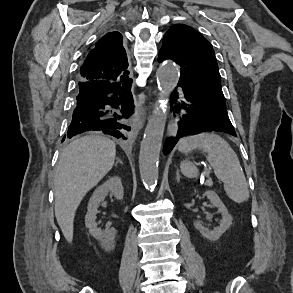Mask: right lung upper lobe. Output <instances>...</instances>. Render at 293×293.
I'll return each mask as SVG.
<instances>
[{
  "label": "right lung upper lobe",
  "mask_w": 293,
  "mask_h": 293,
  "mask_svg": "<svg viewBox=\"0 0 293 293\" xmlns=\"http://www.w3.org/2000/svg\"><path fill=\"white\" fill-rule=\"evenodd\" d=\"M128 60L123 47V37L119 32L104 35L92 49L81 66V82L125 81L129 72Z\"/></svg>",
  "instance_id": "cb5924a9"
}]
</instances>
